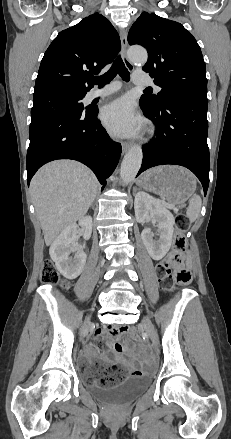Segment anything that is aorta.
I'll list each match as a JSON object with an SVG mask.
<instances>
[{"instance_id":"aorta-1","label":"aorta","mask_w":231,"mask_h":439,"mask_svg":"<svg viewBox=\"0 0 231 439\" xmlns=\"http://www.w3.org/2000/svg\"><path fill=\"white\" fill-rule=\"evenodd\" d=\"M128 57L134 63L145 64L148 59L147 52L142 47H131L128 50ZM143 159L142 149L139 145H134L125 155L121 168L120 177L124 184L130 183L137 175Z\"/></svg>"}]
</instances>
